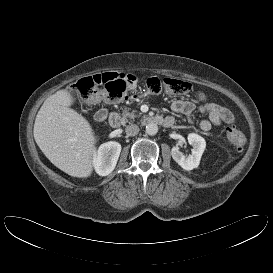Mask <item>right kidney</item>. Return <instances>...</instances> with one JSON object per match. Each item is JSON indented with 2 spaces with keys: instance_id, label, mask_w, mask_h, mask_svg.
<instances>
[{
  "instance_id": "1",
  "label": "right kidney",
  "mask_w": 273,
  "mask_h": 273,
  "mask_svg": "<svg viewBox=\"0 0 273 273\" xmlns=\"http://www.w3.org/2000/svg\"><path fill=\"white\" fill-rule=\"evenodd\" d=\"M120 152L121 145L118 142L101 144L93 158L96 173L100 176L109 175L116 167Z\"/></svg>"
}]
</instances>
